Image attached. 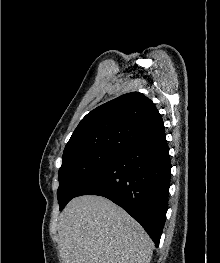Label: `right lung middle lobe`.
<instances>
[{"label": "right lung middle lobe", "mask_w": 220, "mask_h": 263, "mask_svg": "<svg viewBox=\"0 0 220 263\" xmlns=\"http://www.w3.org/2000/svg\"><path fill=\"white\" fill-rule=\"evenodd\" d=\"M123 150L91 148L63 154L57 191L60 210L96 175L116 161Z\"/></svg>", "instance_id": "1"}]
</instances>
